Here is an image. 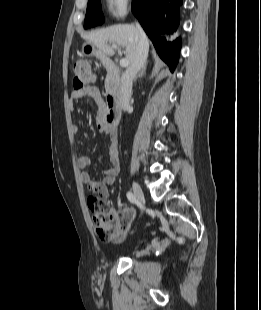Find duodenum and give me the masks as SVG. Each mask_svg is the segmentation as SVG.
Returning a JSON list of instances; mask_svg holds the SVG:
<instances>
[{
  "mask_svg": "<svg viewBox=\"0 0 261 310\" xmlns=\"http://www.w3.org/2000/svg\"><path fill=\"white\" fill-rule=\"evenodd\" d=\"M105 67L109 75L117 81L119 78V69L111 60L105 61ZM119 118V93L116 89H111L107 94L105 104V122L114 130Z\"/></svg>",
  "mask_w": 261,
  "mask_h": 310,
  "instance_id": "obj_1",
  "label": "duodenum"
}]
</instances>
